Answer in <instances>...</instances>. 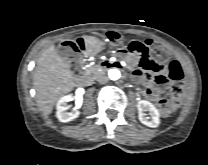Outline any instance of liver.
<instances>
[{"instance_id": "obj_1", "label": "liver", "mask_w": 208, "mask_h": 165, "mask_svg": "<svg viewBox=\"0 0 208 165\" xmlns=\"http://www.w3.org/2000/svg\"><path fill=\"white\" fill-rule=\"evenodd\" d=\"M33 86L38 107L44 115L51 114L56 102L75 87L72 72L53 45L37 59Z\"/></svg>"}]
</instances>
